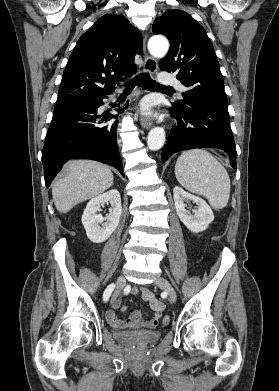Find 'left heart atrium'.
Returning a JSON list of instances; mask_svg holds the SVG:
<instances>
[{"mask_svg":"<svg viewBox=\"0 0 279 391\" xmlns=\"http://www.w3.org/2000/svg\"><path fill=\"white\" fill-rule=\"evenodd\" d=\"M150 108H151L150 102L147 101V100L143 101V103H142V112L147 114V113H149Z\"/></svg>","mask_w":279,"mask_h":391,"instance_id":"obj_1","label":"left heart atrium"}]
</instances>
